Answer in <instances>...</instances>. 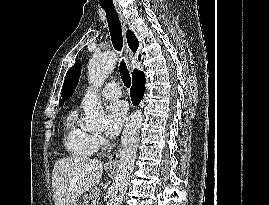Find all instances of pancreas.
Listing matches in <instances>:
<instances>
[{
	"instance_id": "1",
	"label": "pancreas",
	"mask_w": 269,
	"mask_h": 205,
	"mask_svg": "<svg viewBox=\"0 0 269 205\" xmlns=\"http://www.w3.org/2000/svg\"><path fill=\"white\" fill-rule=\"evenodd\" d=\"M87 197V201L91 202L90 205H97L98 203V196L96 195V191L95 190H91V192L89 193Z\"/></svg>"
}]
</instances>
